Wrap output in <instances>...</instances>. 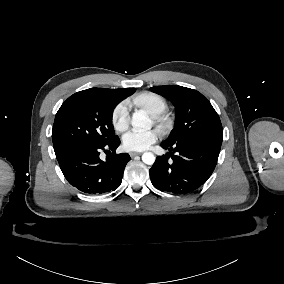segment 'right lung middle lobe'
I'll return each mask as SVG.
<instances>
[{"label":"right lung middle lobe","mask_w":284,"mask_h":284,"mask_svg":"<svg viewBox=\"0 0 284 284\" xmlns=\"http://www.w3.org/2000/svg\"><path fill=\"white\" fill-rule=\"evenodd\" d=\"M117 104L97 88L70 96L55 116L54 151L79 144H105L116 138L111 121Z\"/></svg>","instance_id":"1"}]
</instances>
